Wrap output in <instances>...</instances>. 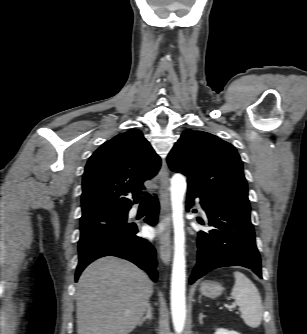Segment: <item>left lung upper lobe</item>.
Returning <instances> with one entry per match:
<instances>
[{"label":"left lung upper lobe","instance_id":"5c2ea615","mask_svg":"<svg viewBox=\"0 0 307 334\" xmlns=\"http://www.w3.org/2000/svg\"><path fill=\"white\" fill-rule=\"evenodd\" d=\"M173 172L188 178V191L250 211L243 164L236 149L217 136L185 130L167 157Z\"/></svg>","mask_w":307,"mask_h":334}]
</instances>
